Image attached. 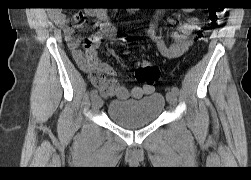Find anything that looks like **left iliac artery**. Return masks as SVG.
Instances as JSON below:
<instances>
[{"label": "left iliac artery", "mask_w": 251, "mask_h": 180, "mask_svg": "<svg viewBox=\"0 0 251 180\" xmlns=\"http://www.w3.org/2000/svg\"><path fill=\"white\" fill-rule=\"evenodd\" d=\"M171 91H173V92L176 93V94L179 93V89H178V87H176V86H173V87L171 88Z\"/></svg>", "instance_id": "left-iliac-artery-1"}]
</instances>
